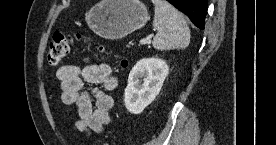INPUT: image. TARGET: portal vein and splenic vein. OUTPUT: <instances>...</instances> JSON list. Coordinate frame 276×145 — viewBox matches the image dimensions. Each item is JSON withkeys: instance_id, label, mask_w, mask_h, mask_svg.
Returning a JSON list of instances; mask_svg holds the SVG:
<instances>
[{"instance_id": "18ae733b", "label": "portal vein and splenic vein", "mask_w": 276, "mask_h": 145, "mask_svg": "<svg viewBox=\"0 0 276 145\" xmlns=\"http://www.w3.org/2000/svg\"><path fill=\"white\" fill-rule=\"evenodd\" d=\"M147 43H148L147 39H141L140 42H139L140 45H145Z\"/></svg>"}]
</instances>
